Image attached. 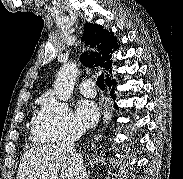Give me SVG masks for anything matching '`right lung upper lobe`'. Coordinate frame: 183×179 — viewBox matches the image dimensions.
Returning <instances> with one entry per match:
<instances>
[{
  "instance_id": "1",
  "label": "right lung upper lobe",
  "mask_w": 183,
  "mask_h": 179,
  "mask_svg": "<svg viewBox=\"0 0 183 179\" xmlns=\"http://www.w3.org/2000/svg\"><path fill=\"white\" fill-rule=\"evenodd\" d=\"M82 41H85L90 47L97 46L98 52L92 53L89 57L84 53L80 61L87 67L100 66L105 72L112 73V59L111 54L119 48L117 44V37L114 33L103 29L102 26L86 23L85 33ZM109 74L106 82L110 81Z\"/></svg>"
}]
</instances>
